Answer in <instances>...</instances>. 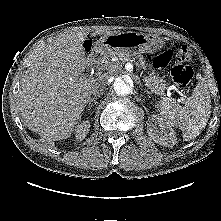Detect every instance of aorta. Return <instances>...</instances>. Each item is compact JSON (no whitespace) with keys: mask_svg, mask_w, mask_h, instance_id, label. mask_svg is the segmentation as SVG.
I'll use <instances>...</instances> for the list:
<instances>
[{"mask_svg":"<svg viewBox=\"0 0 221 221\" xmlns=\"http://www.w3.org/2000/svg\"><path fill=\"white\" fill-rule=\"evenodd\" d=\"M113 89L119 96H125L131 93L132 87L128 81L122 77H117L113 83Z\"/></svg>","mask_w":221,"mask_h":221,"instance_id":"762f6f07","label":"aorta"}]
</instances>
